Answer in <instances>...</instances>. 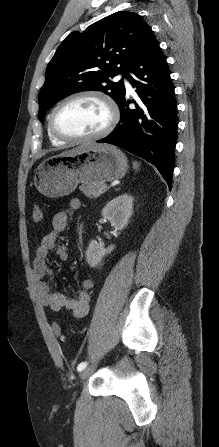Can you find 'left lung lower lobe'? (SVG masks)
Masks as SVG:
<instances>
[{
    "mask_svg": "<svg viewBox=\"0 0 219 447\" xmlns=\"http://www.w3.org/2000/svg\"><path fill=\"white\" fill-rule=\"evenodd\" d=\"M157 40L152 34L130 64L126 78L144 104L130 109L125 94L118 104L120 124L105 142L122 147L153 164L171 188L177 133L174 87ZM135 103V101H132Z\"/></svg>",
    "mask_w": 219,
    "mask_h": 447,
    "instance_id": "left-lung-lower-lobe-1",
    "label": "left lung lower lobe"
}]
</instances>
